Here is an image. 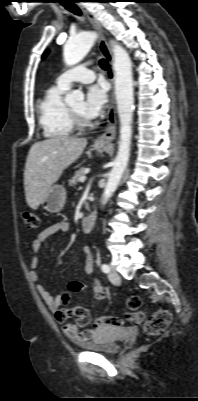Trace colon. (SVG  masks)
Wrapping results in <instances>:
<instances>
[{
    "instance_id": "1",
    "label": "colon",
    "mask_w": 198,
    "mask_h": 401,
    "mask_svg": "<svg viewBox=\"0 0 198 401\" xmlns=\"http://www.w3.org/2000/svg\"><path fill=\"white\" fill-rule=\"evenodd\" d=\"M21 218L24 227L27 229H37L39 227V219L36 213L24 210L21 212ZM69 292L63 296V301L67 302L69 293L77 290V285L74 282L69 284ZM127 314L124 317L103 316L98 317L96 322L102 326H123L126 322L140 323L144 321V328L149 335H158L162 333L171 321V314L168 310L160 309L155 311L149 318H146L145 312L140 310L141 300L139 296L132 295L126 300ZM72 313L79 316V323L86 325L90 318L88 311L85 308L77 307Z\"/></svg>"
}]
</instances>
